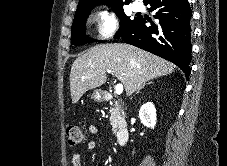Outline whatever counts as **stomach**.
I'll return each instance as SVG.
<instances>
[{"instance_id":"0dacf381","label":"stomach","mask_w":227,"mask_h":166,"mask_svg":"<svg viewBox=\"0 0 227 166\" xmlns=\"http://www.w3.org/2000/svg\"><path fill=\"white\" fill-rule=\"evenodd\" d=\"M91 98L96 102H102L105 98V93L98 89L94 90L91 95Z\"/></svg>"}]
</instances>
